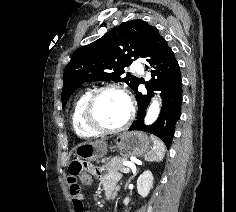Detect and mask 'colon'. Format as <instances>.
<instances>
[{
	"label": "colon",
	"instance_id": "1",
	"mask_svg": "<svg viewBox=\"0 0 236 212\" xmlns=\"http://www.w3.org/2000/svg\"><path fill=\"white\" fill-rule=\"evenodd\" d=\"M71 175H78L82 185H89L96 176V170L87 163L76 161L70 167Z\"/></svg>",
	"mask_w": 236,
	"mask_h": 212
}]
</instances>
